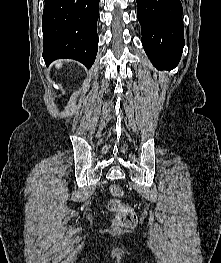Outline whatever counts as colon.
<instances>
[{
    "label": "colon",
    "mask_w": 221,
    "mask_h": 263,
    "mask_svg": "<svg viewBox=\"0 0 221 263\" xmlns=\"http://www.w3.org/2000/svg\"><path fill=\"white\" fill-rule=\"evenodd\" d=\"M108 192L111 197L108 203V209L116 213V224L124 228L134 227L137 222V217L130 206L121 203V198L123 196L122 187L117 184H111L108 187Z\"/></svg>",
    "instance_id": "colon-1"
}]
</instances>
